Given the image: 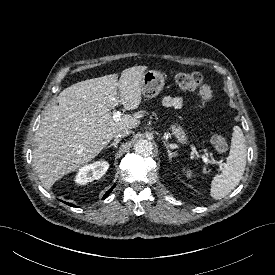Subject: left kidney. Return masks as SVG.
<instances>
[{"instance_id": "left-kidney-1", "label": "left kidney", "mask_w": 275, "mask_h": 275, "mask_svg": "<svg viewBox=\"0 0 275 275\" xmlns=\"http://www.w3.org/2000/svg\"><path fill=\"white\" fill-rule=\"evenodd\" d=\"M188 174V176H191V173H187Z\"/></svg>"}]
</instances>
